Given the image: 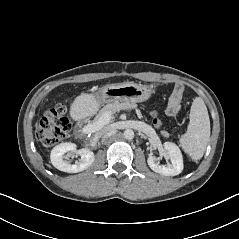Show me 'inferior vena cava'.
Returning <instances> with one entry per match:
<instances>
[{
    "instance_id": "602c4592",
    "label": "inferior vena cava",
    "mask_w": 239,
    "mask_h": 239,
    "mask_svg": "<svg viewBox=\"0 0 239 239\" xmlns=\"http://www.w3.org/2000/svg\"><path fill=\"white\" fill-rule=\"evenodd\" d=\"M112 131L111 127H104L100 131H98L94 137L95 140H98L99 138L103 137L104 135L110 133Z\"/></svg>"
}]
</instances>
